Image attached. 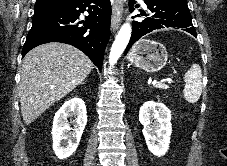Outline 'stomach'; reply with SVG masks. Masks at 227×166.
I'll use <instances>...</instances> for the list:
<instances>
[{
  "label": "stomach",
  "mask_w": 227,
  "mask_h": 166,
  "mask_svg": "<svg viewBox=\"0 0 227 166\" xmlns=\"http://www.w3.org/2000/svg\"><path fill=\"white\" fill-rule=\"evenodd\" d=\"M128 60L147 72H157L167 63L168 53L161 43L141 39L130 50Z\"/></svg>",
  "instance_id": "stomach-1"
}]
</instances>
